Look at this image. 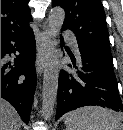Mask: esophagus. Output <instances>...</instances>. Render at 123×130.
I'll use <instances>...</instances> for the list:
<instances>
[{"instance_id": "obj_1", "label": "esophagus", "mask_w": 123, "mask_h": 130, "mask_svg": "<svg viewBox=\"0 0 123 130\" xmlns=\"http://www.w3.org/2000/svg\"><path fill=\"white\" fill-rule=\"evenodd\" d=\"M50 38L49 28L46 25H43L36 59V69L38 74H41L45 67Z\"/></svg>"}]
</instances>
